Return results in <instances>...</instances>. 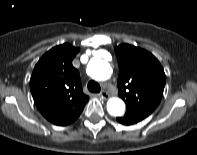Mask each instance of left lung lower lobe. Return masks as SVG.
Returning <instances> with one entry per match:
<instances>
[{
    "label": "left lung lower lobe",
    "mask_w": 197,
    "mask_h": 155,
    "mask_svg": "<svg viewBox=\"0 0 197 155\" xmlns=\"http://www.w3.org/2000/svg\"><path fill=\"white\" fill-rule=\"evenodd\" d=\"M117 121L121 124H124V125H132V124L137 123L136 120H134L128 116H125V115L123 117H118Z\"/></svg>",
    "instance_id": "obj_1"
}]
</instances>
